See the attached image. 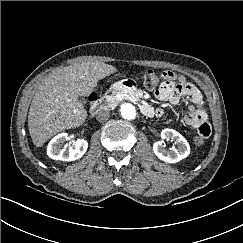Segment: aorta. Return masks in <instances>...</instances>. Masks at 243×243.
<instances>
[{
    "instance_id": "obj_1",
    "label": "aorta",
    "mask_w": 243,
    "mask_h": 243,
    "mask_svg": "<svg viewBox=\"0 0 243 243\" xmlns=\"http://www.w3.org/2000/svg\"><path fill=\"white\" fill-rule=\"evenodd\" d=\"M121 115L124 119L132 120L136 117V109L130 103H125L121 106Z\"/></svg>"
}]
</instances>
